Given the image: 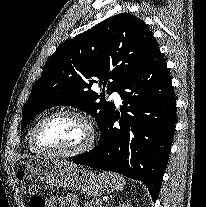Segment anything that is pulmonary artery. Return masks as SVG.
Listing matches in <instances>:
<instances>
[{
    "instance_id": "e3ab8cb5",
    "label": "pulmonary artery",
    "mask_w": 206,
    "mask_h": 207,
    "mask_svg": "<svg viewBox=\"0 0 206 207\" xmlns=\"http://www.w3.org/2000/svg\"><path fill=\"white\" fill-rule=\"evenodd\" d=\"M112 97L114 99V101L117 103V104H120L121 103V97H120V93L119 91H114L112 93Z\"/></svg>"
}]
</instances>
